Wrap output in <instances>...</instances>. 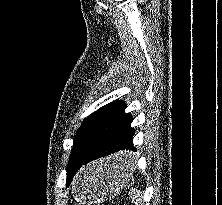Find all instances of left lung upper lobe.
I'll use <instances>...</instances> for the list:
<instances>
[{
  "label": "left lung upper lobe",
  "instance_id": "5c2ea615",
  "mask_svg": "<svg viewBox=\"0 0 222 205\" xmlns=\"http://www.w3.org/2000/svg\"><path fill=\"white\" fill-rule=\"evenodd\" d=\"M119 100L111 102L90 115L81 125L74 138L73 149L67 166V181L71 175V165L74 161L86 156ZM66 181V182H67Z\"/></svg>",
  "mask_w": 222,
  "mask_h": 205
}]
</instances>
